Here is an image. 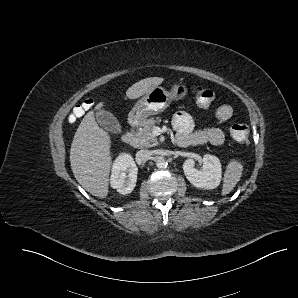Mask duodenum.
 I'll list each match as a JSON object with an SVG mask.
<instances>
[{
  "mask_svg": "<svg viewBox=\"0 0 298 298\" xmlns=\"http://www.w3.org/2000/svg\"><path fill=\"white\" fill-rule=\"evenodd\" d=\"M138 120L136 118H131L129 121L130 129L126 131L121 139L126 144H133L135 141V135L134 130L137 127ZM176 144L179 147H189L193 145L200 144L202 142V139L196 135L188 134V133H177L175 137Z\"/></svg>",
  "mask_w": 298,
  "mask_h": 298,
  "instance_id": "obj_1",
  "label": "duodenum"
}]
</instances>
